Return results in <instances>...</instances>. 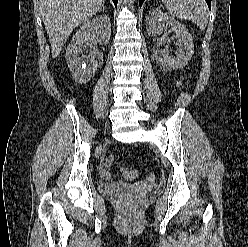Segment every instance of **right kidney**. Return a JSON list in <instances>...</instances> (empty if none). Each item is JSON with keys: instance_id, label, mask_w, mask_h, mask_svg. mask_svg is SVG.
Listing matches in <instances>:
<instances>
[{"instance_id": "1", "label": "right kidney", "mask_w": 248, "mask_h": 247, "mask_svg": "<svg viewBox=\"0 0 248 247\" xmlns=\"http://www.w3.org/2000/svg\"><path fill=\"white\" fill-rule=\"evenodd\" d=\"M111 24L107 15H101L86 20L73 36L71 44L66 49V60L76 82L87 83L97 70V62L91 56L90 63L86 67L85 60L90 56H79L84 48L91 42L107 44L110 40Z\"/></svg>"}]
</instances>
